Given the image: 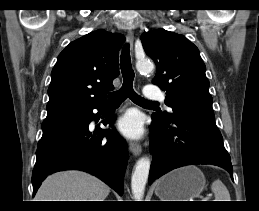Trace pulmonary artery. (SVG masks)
<instances>
[{
  "instance_id": "1",
  "label": "pulmonary artery",
  "mask_w": 259,
  "mask_h": 211,
  "mask_svg": "<svg viewBox=\"0 0 259 211\" xmlns=\"http://www.w3.org/2000/svg\"><path fill=\"white\" fill-rule=\"evenodd\" d=\"M144 96L148 100L163 99V93L160 90H158L154 85H150V84L145 87Z\"/></svg>"
}]
</instances>
